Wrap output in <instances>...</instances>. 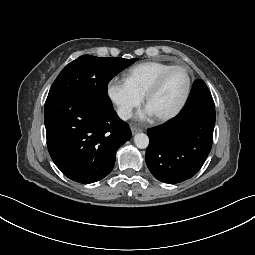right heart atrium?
<instances>
[{
    "label": "right heart atrium",
    "instance_id": "d8ad5b80",
    "mask_svg": "<svg viewBox=\"0 0 255 255\" xmlns=\"http://www.w3.org/2000/svg\"><path fill=\"white\" fill-rule=\"evenodd\" d=\"M107 95L115 106L118 116L127 120L135 108L140 106L143 96L137 93L126 80L113 78L107 85Z\"/></svg>",
    "mask_w": 255,
    "mask_h": 255
}]
</instances>
